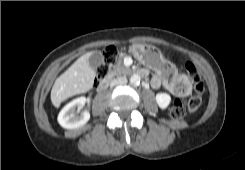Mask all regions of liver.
<instances>
[{"label": "liver", "instance_id": "obj_1", "mask_svg": "<svg viewBox=\"0 0 245 170\" xmlns=\"http://www.w3.org/2000/svg\"><path fill=\"white\" fill-rule=\"evenodd\" d=\"M91 54L92 52H87L79 57L55 80L51 102L56 108L69 97L85 93L93 87L96 72L88 63Z\"/></svg>", "mask_w": 245, "mask_h": 170}]
</instances>
